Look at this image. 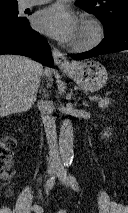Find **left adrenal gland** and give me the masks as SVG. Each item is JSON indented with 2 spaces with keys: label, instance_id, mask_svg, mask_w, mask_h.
Returning a JSON list of instances; mask_svg holds the SVG:
<instances>
[{
  "label": "left adrenal gland",
  "instance_id": "left-adrenal-gland-1",
  "mask_svg": "<svg viewBox=\"0 0 128 213\" xmlns=\"http://www.w3.org/2000/svg\"><path fill=\"white\" fill-rule=\"evenodd\" d=\"M83 105L86 106V107L89 106V105H88L87 103H85V102H83Z\"/></svg>",
  "mask_w": 128,
  "mask_h": 213
}]
</instances>
